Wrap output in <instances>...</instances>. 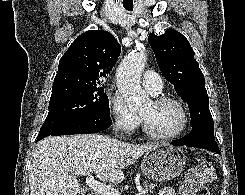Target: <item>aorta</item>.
I'll return each instance as SVG.
<instances>
[{
	"label": "aorta",
	"mask_w": 245,
	"mask_h": 195,
	"mask_svg": "<svg viewBox=\"0 0 245 195\" xmlns=\"http://www.w3.org/2000/svg\"><path fill=\"white\" fill-rule=\"evenodd\" d=\"M146 59L145 49L139 46L122 60L116 72L118 90L131 111L142 109L150 101L148 94L140 85Z\"/></svg>",
	"instance_id": "aorta-1"
}]
</instances>
